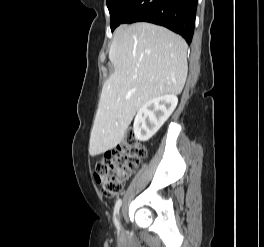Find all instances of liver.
<instances>
[{
	"label": "liver",
	"instance_id": "obj_1",
	"mask_svg": "<svg viewBox=\"0 0 264 247\" xmlns=\"http://www.w3.org/2000/svg\"><path fill=\"white\" fill-rule=\"evenodd\" d=\"M187 48L182 37L150 23L116 29L109 50L114 73L103 85L90 136L91 156L115 148L146 102L181 93L188 72Z\"/></svg>",
	"mask_w": 264,
	"mask_h": 247
}]
</instances>
